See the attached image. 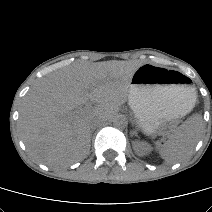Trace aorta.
Instances as JSON below:
<instances>
[{
	"label": "aorta",
	"instance_id": "1",
	"mask_svg": "<svg viewBox=\"0 0 212 212\" xmlns=\"http://www.w3.org/2000/svg\"><path fill=\"white\" fill-rule=\"evenodd\" d=\"M127 118L124 115H116L113 118V125L116 128H125L127 126Z\"/></svg>",
	"mask_w": 212,
	"mask_h": 212
}]
</instances>
